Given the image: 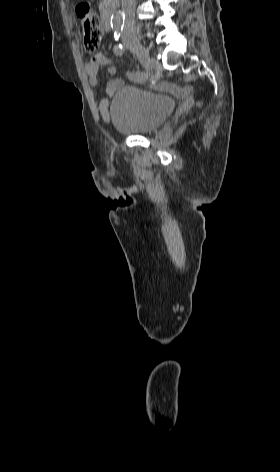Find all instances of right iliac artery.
Segmentation results:
<instances>
[{"instance_id":"1","label":"right iliac artery","mask_w":280,"mask_h":472,"mask_svg":"<svg viewBox=\"0 0 280 472\" xmlns=\"http://www.w3.org/2000/svg\"><path fill=\"white\" fill-rule=\"evenodd\" d=\"M112 28H113V26H112ZM114 28H117V27H114ZM113 50H114V53L116 55L121 56L123 54L124 48L121 44H117V45L114 46ZM135 77H136L137 80L145 82V81L148 80L149 74L145 71L137 70V71H135Z\"/></svg>"}]
</instances>
